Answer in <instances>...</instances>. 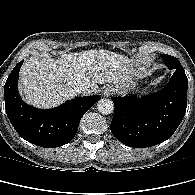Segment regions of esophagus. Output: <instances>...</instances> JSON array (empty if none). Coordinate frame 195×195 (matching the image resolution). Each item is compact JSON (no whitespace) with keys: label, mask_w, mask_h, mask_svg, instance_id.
I'll use <instances>...</instances> for the list:
<instances>
[{"label":"esophagus","mask_w":195,"mask_h":195,"mask_svg":"<svg viewBox=\"0 0 195 195\" xmlns=\"http://www.w3.org/2000/svg\"><path fill=\"white\" fill-rule=\"evenodd\" d=\"M114 93V88L112 86H107L103 89V96L110 97Z\"/></svg>","instance_id":"esophagus-1"}]
</instances>
